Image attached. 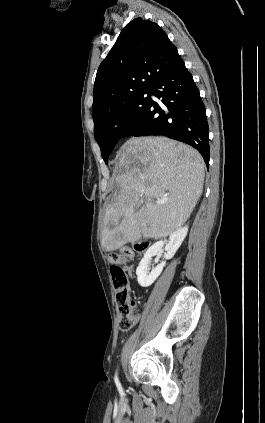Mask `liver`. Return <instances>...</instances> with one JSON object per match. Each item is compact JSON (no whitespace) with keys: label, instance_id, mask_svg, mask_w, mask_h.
<instances>
[{"label":"liver","instance_id":"1","mask_svg":"<svg viewBox=\"0 0 265 423\" xmlns=\"http://www.w3.org/2000/svg\"><path fill=\"white\" fill-rule=\"evenodd\" d=\"M204 167L200 153L184 143L166 137L128 139L116 156L117 191L102 231L105 251L181 228L202 194ZM163 198L162 205L149 200Z\"/></svg>","mask_w":265,"mask_h":423}]
</instances>
